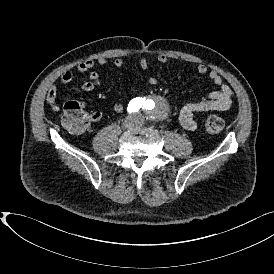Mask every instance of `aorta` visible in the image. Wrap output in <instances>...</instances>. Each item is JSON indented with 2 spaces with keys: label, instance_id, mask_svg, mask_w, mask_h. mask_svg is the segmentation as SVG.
I'll list each match as a JSON object with an SVG mask.
<instances>
[{
  "label": "aorta",
  "instance_id": "obj_1",
  "mask_svg": "<svg viewBox=\"0 0 274 274\" xmlns=\"http://www.w3.org/2000/svg\"><path fill=\"white\" fill-rule=\"evenodd\" d=\"M154 98V100H155V109H156V114H158L159 115V111H161V112H163V111H165L166 109H167V107H166V104H165V101H164V99L162 98V97H160V96H155V97H153ZM158 110V111H157Z\"/></svg>",
  "mask_w": 274,
  "mask_h": 274
}]
</instances>
